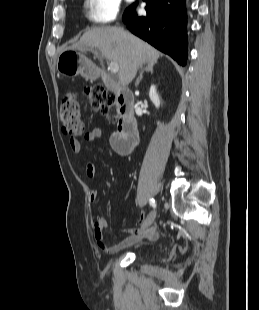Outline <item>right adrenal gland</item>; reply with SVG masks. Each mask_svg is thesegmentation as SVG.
I'll use <instances>...</instances> for the list:
<instances>
[{
    "mask_svg": "<svg viewBox=\"0 0 259 310\" xmlns=\"http://www.w3.org/2000/svg\"><path fill=\"white\" fill-rule=\"evenodd\" d=\"M156 63H157V62L147 63L146 67L143 68V69L141 70L140 75H139V77H138L137 80H136V86L139 85L141 79L143 78V73H144V71L150 72L151 74H153V67H154V65H155Z\"/></svg>",
    "mask_w": 259,
    "mask_h": 310,
    "instance_id": "2a0ac1e0",
    "label": "right adrenal gland"
}]
</instances>
